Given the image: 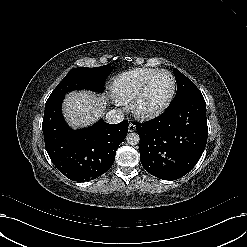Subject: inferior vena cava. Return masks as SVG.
Instances as JSON below:
<instances>
[{
	"mask_svg": "<svg viewBox=\"0 0 247 247\" xmlns=\"http://www.w3.org/2000/svg\"><path fill=\"white\" fill-rule=\"evenodd\" d=\"M124 120V113L120 109H112L106 114V122L110 124H117Z\"/></svg>",
	"mask_w": 247,
	"mask_h": 247,
	"instance_id": "obj_1",
	"label": "inferior vena cava"
}]
</instances>
